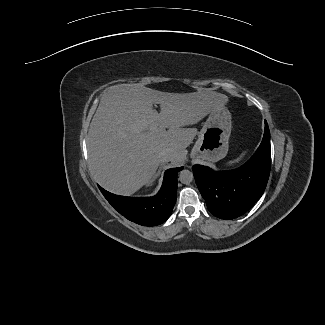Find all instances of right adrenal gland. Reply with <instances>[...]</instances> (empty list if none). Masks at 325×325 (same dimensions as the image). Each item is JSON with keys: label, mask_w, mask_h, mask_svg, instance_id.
<instances>
[{"label": "right adrenal gland", "mask_w": 325, "mask_h": 325, "mask_svg": "<svg viewBox=\"0 0 325 325\" xmlns=\"http://www.w3.org/2000/svg\"><path fill=\"white\" fill-rule=\"evenodd\" d=\"M163 164H164V163H161V164H160V167H159L157 173H156V174L154 175V177L152 178V181H154V180L157 178V176L159 175V172H160V170H161V166H162Z\"/></svg>", "instance_id": "right-adrenal-gland-1"}]
</instances>
